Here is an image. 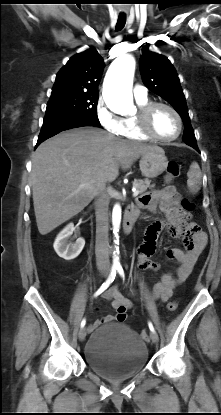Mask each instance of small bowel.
I'll return each instance as SVG.
<instances>
[{
    "label": "small bowel",
    "mask_w": 221,
    "mask_h": 415,
    "mask_svg": "<svg viewBox=\"0 0 221 415\" xmlns=\"http://www.w3.org/2000/svg\"><path fill=\"white\" fill-rule=\"evenodd\" d=\"M137 207L150 212L159 208L166 216V221H156L149 225L145 231L143 242L137 250V265L140 269L157 270L159 268L158 264L150 258L156 251L157 241L163 230H166L171 237L181 238L186 247L185 251L178 248L168 251V257L175 259L178 266L174 273H163L160 281L153 287V297L166 302L172 296L174 289L184 282L191 273L206 246L207 238L204 233L199 231L197 225L187 223L190 219V211L188 207H183L180 194L174 186H166L141 195ZM102 297L111 301L115 314H108L95 320L89 329H95L113 320L124 321L126 311L133 305L130 299L121 294L117 286L103 291Z\"/></svg>",
    "instance_id": "obj_1"
}]
</instances>
